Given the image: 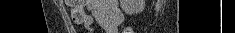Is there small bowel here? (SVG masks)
Listing matches in <instances>:
<instances>
[{
  "mask_svg": "<svg viewBox=\"0 0 235 33\" xmlns=\"http://www.w3.org/2000/svg\"><path fill=\"white\" fill-rule=\"evenodd\" d=\"M87 10L82 23L88 32L97 23L106 33H119L124 17L117 0H88Z\"/></svg>",
  "mask_w": 235,
  "mask_h": 33,
  "instance_id": "1",
  "label": "small bowel"
}]
</instances>
